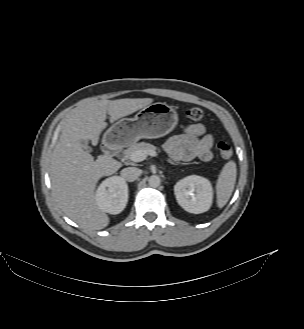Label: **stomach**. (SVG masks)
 Listing matches in <instances>:
<instances>
[{
    "label": "stomach",
    "mask_w": 304,
    "mask_h": 329,
    "mask_svg": "<svg viewBox=\"0 0 304 329\" xmlns=\"http://www.w3.org/2000/svg\"><path fill=\"white\" fill-rule=\"evenodd\" d=\"M178 123V114L166 103H153L142 108L133 118L114 123L103 135V144L110 148L131 145L142 138L167 135Z\"/></svg>",
    "instance_id": "0dacf381"
}]
</instances>
